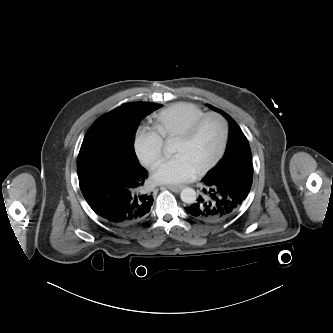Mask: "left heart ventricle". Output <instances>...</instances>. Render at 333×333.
Wrapping results in <instances>:
<instances>
[{
    "mask_svg": "<svg viewBox=\"0 0 333 333\" xmlns=\"http://www.w3.org/2000/svg\"><path fill=\"white\" fill-rule=\"evenodd\" d=\"M223 128L216 118L207 119L190 140L176 139L173 152L184 154L197 168L209 162L218 152L221 145Z\"/></svg>",
    "mask_w": 333,
    "mask_h": 333,
    "instance_id": "b2bd125f",
    "label": "left heart ventricle"
}]
</instances>
